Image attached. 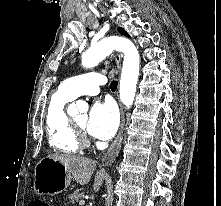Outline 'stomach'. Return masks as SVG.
I'll return each instance as SVG.
<instances>
[{
	"instance_id": "obj_1",
	"label": "stomach",
	"mask_w": 221,
	"mask_h": 206,
	"mask_svg": "<svg viewBox=\"0 0 221 206\" xmlns=\"http://www.w3.org/2000/svg\"><path fill=\"white\" fill-rule=\"evenodd\" d=\"M72 176L65 165L58 160L46 157L41 159L34 171V191L38 195L58 194L70 185Z\"/></svg>"
}]
</instances>
